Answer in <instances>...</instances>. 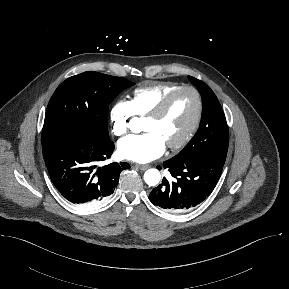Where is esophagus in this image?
<instances>
[{
	"label": "esophagus",
	"mask_w": 289,
	"mask_h": 289,
	"mask_svg": "<svg viewBox=\"0 0 289 289\" xmlns=\"http://www.w3.org/2000/svg\"><path fill=\"white\" fill-rule=\"evenodd\" d=\"M135 167L140 169V170H146L149 166L148 165L135 164Z\"/></svg>",
	"instance_id": "34e87169"
}]
</instances>
